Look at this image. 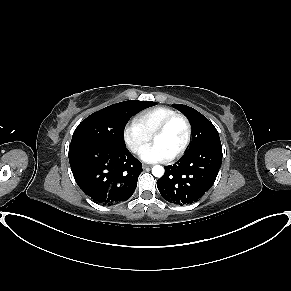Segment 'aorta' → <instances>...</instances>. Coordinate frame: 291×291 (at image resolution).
Instances as JSON below:
<instances>
[{
  "mask_svg": "<svg viewBox=\"0 0 291 291\" xmlns=\"http://www.w3.org/2000/svg\"><path fill=\"white\" fill-rule=\"evenodd\" d=\"M152 174L155 177H161L164 174V168L162 166H160V165H155L152 168Z\"/></svg>",
  "mask_w": 291,
  "mask_h": 291,
  "instance_id": "aorta-1",
  "label": "aorta"
}]
</instances>
